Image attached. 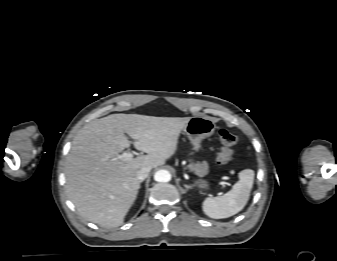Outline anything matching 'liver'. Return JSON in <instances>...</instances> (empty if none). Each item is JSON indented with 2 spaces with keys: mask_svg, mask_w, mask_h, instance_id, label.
I'll return each instance as SVG.
<instances>
[{
  "mask_svg": "<svg viewBox=\"0 0 337 261\" xmlns=\"http://www.w3.org/2000/svg\"><path fill=\"white\" fill-rule=\"evenodd\" d=\"M191 117L111 114L85 125L66 157V192L79 214L102 227H116L134 203L140 181L137 171L161 166L177 149ZM147 153L130 161L117 155L130 146Z\"/></svg>",
  "mask_w": 337,
  "mask_h": 261,
  "instance_id": "1",
  "label": "liver"
}]
</instances>
